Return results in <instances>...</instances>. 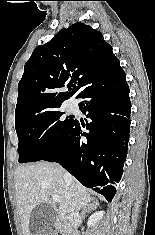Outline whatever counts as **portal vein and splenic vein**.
<instances>
[{"label": "portal vein and splenic vein", "mask_w": 155, "mask_h": 235, "mask_svg": "<svg viewBox=\"0 0 155 235\" xmlns=\"http://www.w3.org/2000/svg\"><path fill=\"white\" fill-rule=\"evenodd\" d=\"M53 200L55 202H60V197L58 195H53Z\"/></svg>", "instance_id": "obj_1"}]
</instances>
